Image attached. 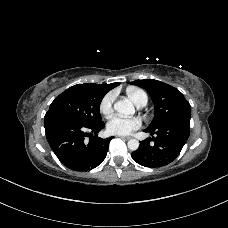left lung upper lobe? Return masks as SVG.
<instances>
[{
    "mask_svg": "<svg viewBox=\"0 0 228 228\" xmlns=\"http://www.w3.org/2000/svg\"><path fill=\"white\" fill-rule=\"evenodd\" d=\"M131 84L146 89L154 103V119L148 130H156L160 126L191 116V106L183 94L176 88L153 79L135 80Z\"/></svg>",
    "mask_w": 228,
    "mask_h": 228,
    "instance_id": "obj_1",
    "label": "left lung upper lobe"
}]
</instances>
